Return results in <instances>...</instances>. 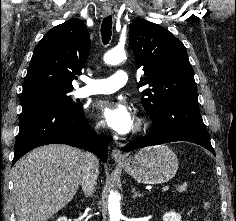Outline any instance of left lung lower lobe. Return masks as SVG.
<instances>
[{"label":"left lung lower lobe","mask_w":236,"mask_h":221,"mask_svg":"<svg viewBox=\"0 0 236 221\" xmlns=\"http://www.w3.org/2000/svg\"><path fill=\"white\" fill-rule=\"evenodd\" d=\"M152 121L149 134L127 144L124 151L129 152L150 145L174 141H189L203 146L216 156L198 105L169 103L161 108Z\"/></svg>","instance_id":"0a47b994"}]
</instances>
